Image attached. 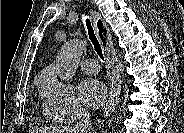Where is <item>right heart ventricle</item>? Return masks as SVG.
<instances>
[{"label": "right heart ventricle", "mask_w": 184, "mask_h": 133, "mask_svg": "<svg viewBox=\"0 0 184 133\" xmlns=\"http://www.w3.org/2000/svg\"><path fill=\"white\" fill-rule=\"evenodd\" d=\"M47 75H49V73H44V74L41 76L42 82H43L44 78H45ZM42 82H41V84H42Z\"/></svg>", "instance_id": "right-heart-ventricle-1"}]
</instances>
